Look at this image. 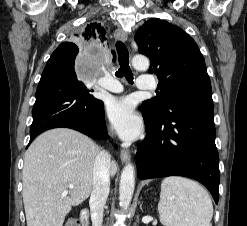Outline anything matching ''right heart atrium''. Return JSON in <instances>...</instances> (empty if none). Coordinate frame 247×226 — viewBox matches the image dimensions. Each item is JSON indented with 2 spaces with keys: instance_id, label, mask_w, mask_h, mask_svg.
Instances as JSON below:
<instances>
[{
  "instance_id": "obj_1",
  "label": "right heart atrium",
  "mask_w": 247,
  "mask_h": 226,
  "mask_svg": "<svg viewBox=\"0 0 247 226\" xmlns=\"http://www.w3.org/2000/svg\"><path fill=\"white\" fill-rule=\"evenodd\" d=\"M107 130H108L109 133H111V128L110 127H108Z\"/></svg>"
}]
</instances>
